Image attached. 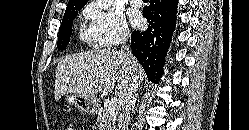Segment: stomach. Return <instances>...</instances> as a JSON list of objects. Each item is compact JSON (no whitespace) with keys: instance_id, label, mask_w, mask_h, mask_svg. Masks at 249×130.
I'll use <instances>...</instances> for the list:
<instances>
[{"instance_id":"obj_1","label":"stomach","mask_w":249,"mask_h":130,"mask_svg":"<svg viewBox=\"0 0 249 130\" xmlns=\"http://www.w3.org/2000/svg\"><path fill=\"white\" fill-rule=\"evenodd\" d=\"M65 101L80 111L94 114L99 107V100L96 96L87 94H68L65 97Z\"/></svg>"}]
</instances>
